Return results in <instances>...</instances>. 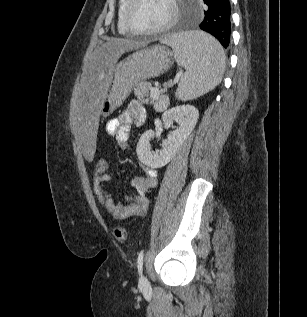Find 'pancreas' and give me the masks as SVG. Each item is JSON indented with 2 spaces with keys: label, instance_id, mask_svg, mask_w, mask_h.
Masks as SVG:
<instances>
[{
  "label": "pancreas",
  "instance_id": "obj_1",
  "mask_svg": "<svg viewBox=\"0 0 307 317\" xmlns=\"http://www.w3.org/2000/svg\"><path fill=\"white\" fill-rule=\"evenodd\" d=\"M151 85L147 82H142L134 89V94L137 98L143 99L144 103H153L154 100L149 97L151 91Z\"/></svg>",
  "mask_w": 307,
  "mask_h": 317
}]
</instances>
